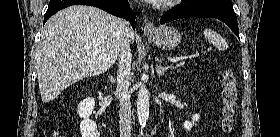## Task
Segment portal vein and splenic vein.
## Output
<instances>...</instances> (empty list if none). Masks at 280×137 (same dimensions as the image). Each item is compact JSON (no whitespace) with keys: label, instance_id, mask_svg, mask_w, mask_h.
<instances>
[{"label":"portal vein and splenic vein","instance_id":"18ae733b","mask_svg":"<svg viewBox=\"0 0 280 137\" xmlns=\"http://www.w3.org/2000/svg\"><path fill=\"white\" fill-rule=\"evenodd\" d=\"M180 59H182V58H173V59H171V62H176V61H179Z\"/></svg>","mask_w":280,"mask_h":137}]
</instances>
